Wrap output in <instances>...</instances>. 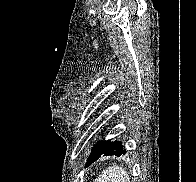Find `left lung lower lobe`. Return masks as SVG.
Masks as SVG:
<instances>
[{"label":"left lung lower lobe","instance_id":"0a47b994","mask_svg":"<svg viewBox=\"0 0 196 182\" xmlns=\"http://www.w3.org/2000/svg\"><path fill=\"white\" fill-rule=\"evenodd\" d=\"M126 153V149L122 145L121 141H103L98 147L92 150L86 166L92 164L94 161L98 160L101 156L116 155L121 156Z\"/></svg>","mask_w":196,"mask_h":182}]
</instances>
